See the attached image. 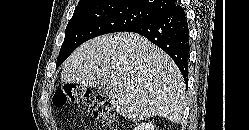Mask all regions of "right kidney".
Segmentation results:
<instances>
[{
	"label": "right kidney",
	"instance_id": "ca27d5eb",
	"mask_svg": "<svg viewBox=\"0 0 249 130\" xmlns=\"http://www.w3.org/2000/svg\"><path fill=\"white\" fill-rule=\"evenodd\" d=\"M155 126L151 122L141 123L134 130H154Z\"/></svg>",
	"mask_w": 249,
	"mask_h": 130
}]
</instances>
